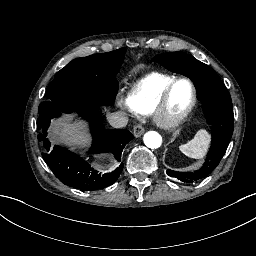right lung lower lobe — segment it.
<instances>
[{
  "instance_id": "obj_1",
  "label": "right lung lower lobe",
  "mask_w": 256,
  "mask_h": 256,
  "mask_svg": "<svg viewBox=\"0 0 256 256\" xmlns=\"http://www.w3.org/2000/svg\"><path fill=\"white\" fill-rule=\"evenodd\" d=\"M74 110L91 123L93 135L91 153L111 152L120 161L123 148L134 138L127 130H106L100 121L98 115L99 106L97 105L69 106L63 111H56L43 118L39 117L37 121L38 129L41 130L38 140L42 141L44 146L43 159L55 176L68 186L87 191L110 186L122 172L123 163L111 173L101 175L75 153L59 146L50 149V142L46 138L50 120L54 117H59L61 112L69 113Z\"/></svg>"
}]
</instances>
